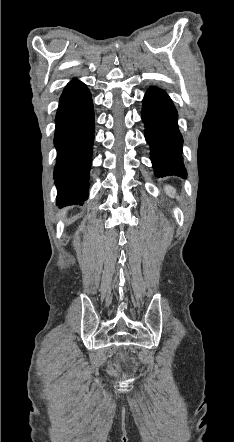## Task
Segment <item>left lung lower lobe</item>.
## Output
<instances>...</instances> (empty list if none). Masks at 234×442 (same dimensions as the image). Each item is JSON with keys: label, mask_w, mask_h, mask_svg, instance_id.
I'll list each match as a JSON object with an SVG mask.
<instances>
[{"label": "left lung lower lobe", "mask_w": 234, "mask_h": 442, "mask_svg": "<svg viewBox=\"0 0 234 442\" xmlns=\"http://www.w3.org/2000/svg\"><path fill=\"white\" fill-rule=\"evenodd\" d=\"M142 120L151 148V161L157 177L187 175L183 165V139L178 130L177 111L169 96L151 88L143 99Z\"/></svg>", "instance_id": "0a47b994"}]
</instances>
